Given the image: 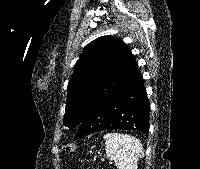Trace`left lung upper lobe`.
Here are the masks:
<instances>
[{
	"mask_svg": "<svg viewBox=\"0 0 200 169\" xmlns=\"http://www.w3.org/2000/svg\"><path fill=\"white\" fill-rule=\"evenodd\" d=\"M137 67L130 49L118 38L103 36L88 44L68 83L63 124L70 129L80 125L91 108L130 78Z\"/></svg>",
	"mask_w": 200,
	"mask_h": 169,
	"instance_id": "obj_1",
	"label": "left lung upper lobe"
}]
</instances>
